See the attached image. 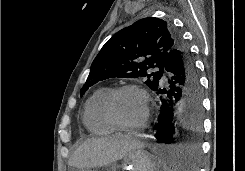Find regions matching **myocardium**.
<instances>
[{"label": "myocardium", "mask_w": 245, "mask_h": 171, "mask_svg": "<svg viewBox=\"0 0 245 171\" xmlns=\"http://www.w3.org/2000/svg\"><path fill=\"white\" fill-rule=\"evenodd\" d=\"M128 90H134V91L141 93L146 101L145 116L140 123L135 124V125H127V124L122 123L117 117L115 108H114L116 97L122 92L128 91ZM103 112L105 114V117L115 128L121 131H138L144 128L149 121L150 113H151V98L147 90L143 88L142 86L133 84V83L123 84L116 88L111 89L107 93L103 101Z\"/></svg>", "instance_id": "1"}]
</instances>
